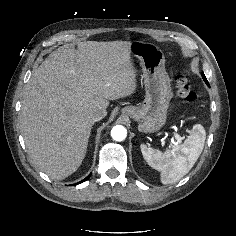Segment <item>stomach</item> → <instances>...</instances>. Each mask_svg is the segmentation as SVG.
Listing matches in <instances>:
<instances>
[{
  "label": "stomach",
  "instance_id": "1",
  "mask_svg": "<svg viewBox=\"0 0 236 236\" xmlns=\"http://www.w3.org/2000/svg\"><path fill=\"white\" fill-rule=\"evenodd\" d=\"M130 55L140 61L145 85V100L139 106H127L122 113L137 121L142 133L159 131L166 123L167 109L173 96L170 78L165 71L163 51L155 44L131 42Z\"/></svg>",
  "mask_w": 236,
  "mask_h": 236
}]
</instances>
